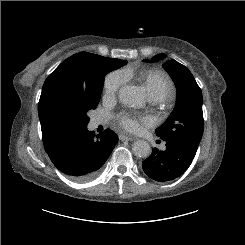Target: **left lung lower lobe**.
<instances>
[{"label":"left lung lower lobe","mask_w":245,"mask_h":245,"mask_svg":"<svg viewBox=\"0 0 245 245\" xmlns=\"http://www.w3.org/2000/svg\"><path fill=\"white\" fill-rule=\"evenodd\" d=\"M165 142V151L154 148L152 154L142 163L144 172L159 182L171 181L181 176L192 163L197 151L180 141Z\"/></svg>","instance_id":"0a47b994"}]
</instances>
